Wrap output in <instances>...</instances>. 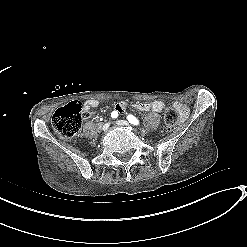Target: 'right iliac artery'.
Wrapping results in <instances>:
<instances>
[{"mask_svg": "<svg viewBox=\"0 0 247 247\" xmlns=\"http://www.w3.org/2000/svg\"><path fill=\"white\" fill-rule=\"evenodd\" d=\"M111 117H112L113 119L117 118V117H118V112H117V111H113V112L111 113Z\"/></svg>", "mask_w": 247, "mask_h": 247, "instance_id": "right-iliac-artery-1", "label": "right iliac artery"}]
</instances>
